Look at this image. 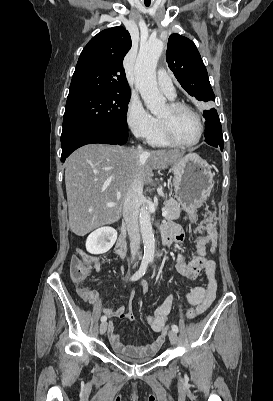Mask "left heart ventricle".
<instances>
[{"instance_id": "left-heart-ventricle-1", "label": "left heart ventricle", "mask_w": 273, "mask_h": 401, "mask_svg": "<svg viewBox=\"0 0 273 401\" xmlns=\"http://www.w3.org/2000/svg\"><path fill=\"white\" fill-rule=\"evenodd\" d=\"M159 117L171 126L175 136L183 142L194 141L199 136L198 120L185 110H174L167 104Z\"/></svg>"}]
</instances>
